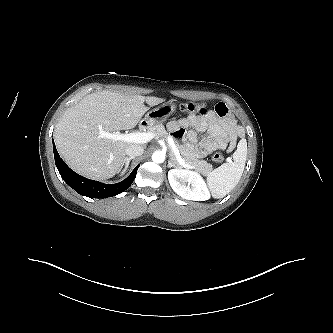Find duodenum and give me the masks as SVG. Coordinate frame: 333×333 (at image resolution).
Returning a JSON list of instances; mask_svg holds the SVG:
<instances>
[{"label": "duodenum", "mask_w": 333, "mask_h": 333, "mask_svg": "<svg viewBox=\"0 0 333 333\" xmlns=\"http://www.w3.org/2000/svg\"><path fill=\"white\" fill-rule=\"evenodd\" d=\"M146 126V123L145 122H142L141 124H140V127L141 128H143V127H145Z\"/></svg>", "instance_id": "1"}]
</instances>
